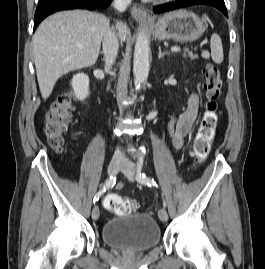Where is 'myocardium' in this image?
Returning <instances> with one entry per match:
<instances>
[{
	"mask_svg": "<svg viewBox=\"0 0 265 269\" xmlns=\"http://www.w3.org/2000/svg\"><path fill=\"white\" fill-rule=\"evenodd\" d=\"M154 1H157V2H167V1H172V0H154Z\"/></svg>",
	"mask_w": 265,
	"mask_h": 269,
	"instance_id": "f54148a6",
	"label": "myocardium"
}]
</instances>
